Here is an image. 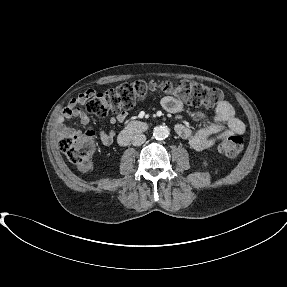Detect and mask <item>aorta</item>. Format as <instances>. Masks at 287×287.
<instances>
[{
	"mask_svg": "<svg viewBox=\"0 0 287 287\" xmlns=\"http://www.w3.org/2000/svg\"><path fill=\"white\" fill-rule=\"evenodd\" d=\"M169 135V129L166 126H156L153 129V136L157 140H163L167 138Z\"/></svg>",
	"mask_w": 287,
	"mask_h": 287,
	"instance_id": "1",
	"label": "aorta"
}]
</instances>
